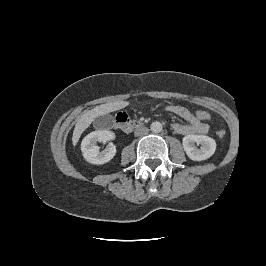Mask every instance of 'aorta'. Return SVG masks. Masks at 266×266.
<instances>
[{
  "instance_id": "762f6f07",
  "label": "aorta",
  "mask_w": 266,
  "mask_h": 266,
  "mask_svg": "<svg viewBox=\"0 0 266 266\" xmlns=\"http://www.w3.org/2000/svg\"><path fill=\"white\" fill-rule=\"evenodd\" d=\"M162 124L158 121L152 122L150 125V129L152 132L159 133L162 131Z\"/></svg>"
}]
</instances>
